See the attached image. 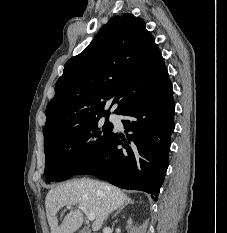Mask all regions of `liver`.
I'll return each instance as SVG.
<instances>
[{"mask_svg": "<svg viewBox=\"0 0 227 233\" xmlns=\"http://www.w3.org/2000/svg\"><path fill=\"white\" fill-rule=\"evenodd\" d=\"M130 198L110 184L80 179L52 188L46 196L45 206L51 233H74L83 223V213L71 206L81 205L95 214L92 230L98 231L109 213L130 203ZM64 206L71 211L59 225L57 212Z\"/></svg>", "mask_w": 227, "mask_h": 233, "instance_id": "6515ba94", "label": "liver"}]
</instances>
